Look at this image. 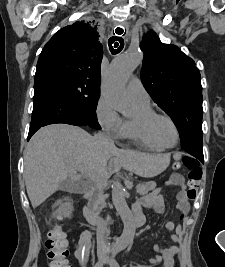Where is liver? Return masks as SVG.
<instances>
[{
    "mask_svg": "<svg viewBox=\"0 0 225 267\" xmlns=\"http://www.w3.org/2000/svg\"><path fill=\"white\" fill-rule=\"evenodd\" d=\"M71 159L72 162H68ZM112 159L111 165L107 161ZM149 156L122 151L115 145H103L82 128L51 124L38 130L24 153V178L33 208L38 207L57 189L60 182L79 179L80 171L96 181L99 173L111 174L112 167H123L146 176L143 164Z\"/></svg>",
    "mask_w": 225,
    "mask_h": 267,
    "instance_id": "6515ba94",
    "label": "liver"
}]
</instances>
